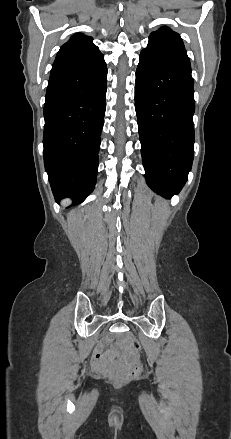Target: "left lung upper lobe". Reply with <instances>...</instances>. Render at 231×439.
I'll list each match as a JSON object with an SVG mask.
<instances>
[{"label":"left lung upper lobe","instance_id":"5c2ea615","mask_svg":"<svg viewBox=\"0 0 231 439\" xmlns=\"http://www.w3.org/2000/svg\"><path fill=\"white\" fill-rule=\"evenodd\" d=\"M145 49L160 55L190 61L180 35L168 27L152 32Z\"/></svg>","mask_w":231,"mask_h":439}]
</instances>
